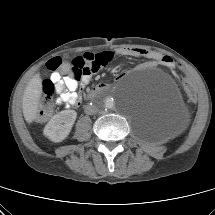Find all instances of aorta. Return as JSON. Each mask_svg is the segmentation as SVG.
Here are the masks:
<instances>
[{
  "label": "aorta",
  "mask_w": 215,
  "mask_h": 215,
  "mask_svg": "<svg viewBox=\"0 0 215 215\" xmlns=\"http://www.w3.org/2000/svg\"><path fill=\"white\" fill-rule=\"evenodd\" d=\"M120 97H117L114 93H102L95 102V105L103 111L114 110L118 107Z\"/></svg>",
  "instance_id": "obj_1"
}]
</instances>
